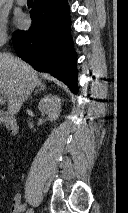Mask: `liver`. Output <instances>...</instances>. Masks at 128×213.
<instances>
[{"mask_svg":"<svg viewBox=\"0 0 128 213\" xmlns=\"http://www.w3.org/2000/svg\"><path fill=\"white\" fill-rule=\"evenodd\" d=\"M37 72L19 58L0 53V94L8 99V112H19L25 99L40 83Z\"/></svg>","mask_w":128,"mask_h":213,"instance_id":"6515ba94","label":"liver"}]
</instances>
